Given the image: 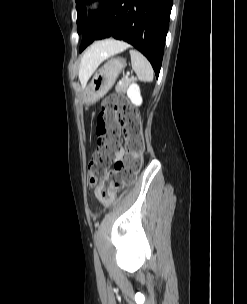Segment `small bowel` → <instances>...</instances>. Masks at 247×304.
<instances>
[{"label":"small bowel","instance_id":"c3829d8e","mask_svg":"<svg viewBox=\"0 0 247 304\" xmlns=\"http://www.w3.org/2000/svg\"><path fill=\"white\" fill-rule=\"evenodd\" d=\"M122 156H123V152L121 151L118 153V158H121Z\"/></svg>","mask_w":247,"mask_h":304}]
</instances>
